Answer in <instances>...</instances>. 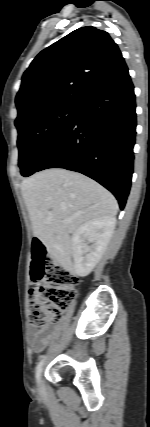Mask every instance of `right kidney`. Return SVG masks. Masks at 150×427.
<instances>
[{"label":"right kidney","instance_id":"obj_1","mask_svg":"<svg viewBox=\"0 0 150 427\" xmlns=\"http://www.w3.org/2000/svg\"><path fill=\"white\" fill-rule=\"evenodd\" d=\"M116 218L109 217L86 222L72 236L73 271L85 277L101 259L114 232ZM92 243L91 246H88Z\"/></svg>","mask_w":150,"mask_h":427}]
</instances>
